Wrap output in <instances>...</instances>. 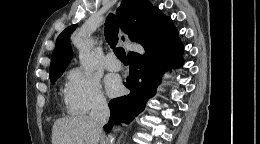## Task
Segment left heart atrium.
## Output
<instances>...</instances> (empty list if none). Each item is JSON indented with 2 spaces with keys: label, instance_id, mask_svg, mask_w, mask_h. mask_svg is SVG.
I'll return each instance as SVG.
<instances>
[{
  "label": "left heart atrium",
  "instance_id": "1",
  "mask_svg": "<svg viewBox=\"0 0 260 144\" xmlns=\"http://www.w3.org/2000/svg\"><path fill=\"white\" fill-rule=\"evenodd\" d=\"M120 79L115 75H109L106 78V88L110 95H117L121 90Z\"/></svg>",
  "mask_w": 260,
  "mask_h": 144
}]
</instances>
